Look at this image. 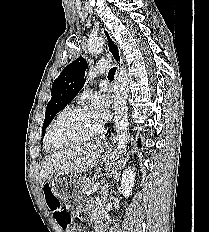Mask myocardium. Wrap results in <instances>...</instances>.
Masks as SVG:
<instances>
[{
    "label": "myocardium",
    "instance_id": "f54148a6",
    "mask_svg": "<svg viewBox=\"0 0 209 232\" xmlns=\"http://www.w3.org/2000/svg\"><path fill=\"white\" fill-rule=\"evenodd\" d=\"M82 110H89V107L87 105L84 104H79V105H74L71 107H68L66 109H64L63 111H61L57 117L51 122V124L49 125L48 129H47V133H46V137H45V143L52 149H60L63 148L65 146L74 144V143H78V142H82V141H86V140H90L92 138H95L97 136H99L103 130V124L100 123L97 127V129L85 136L79 137V138H75L72 139L70 141H67L65 143H61V144H56L53 142L52 140V131L54 126L67 114H70L72 112H76V111H82Z\"/></svg>",
    "mask_w": 209,
    "mask_h": 232
}]
</instances>
